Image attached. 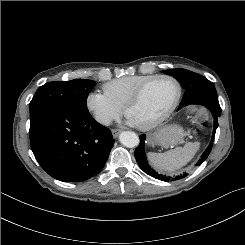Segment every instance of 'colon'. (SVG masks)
Listing matches in <instances>:
<instances>
[{"label":"colon","instance_id":"1","mask_svg":"<svg viewBox=\"0 0 245 245\" xmlns=\"http://www.w3.org/2000/svg\"><path fill=\"white\" fill-rule=\"evenodd\" d=\"M200 131V127H197L196 129H195V132L197 133V132H199Z\"/></svg>","mask_w":245,"mask_h":245}]
</instances>
